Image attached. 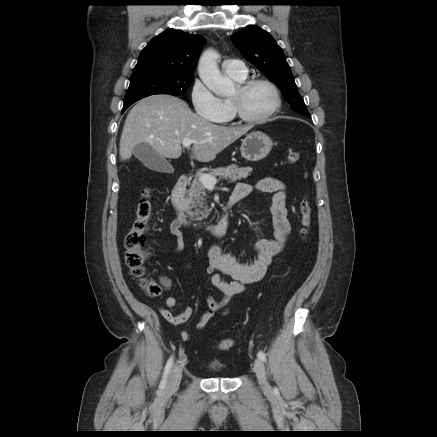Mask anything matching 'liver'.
Returning <instances> with one entry per match:
<instances>
[{"label":"liver","mask_w":437,"mask_h":437,"mask_svg":"<svg viewBox=\"0 0 437 437\" xmlns=\"http://www.w3.org/2000/svg\"><path fill=\"white\" fill-rule=\"evenodd\" d=\"M251 129L214 124L193 113L188 104L171 95H152L140 100L128 113L119 145L121 161L131 158L133 149L148 143L162 157L177 159L185 138L194 140L192 157L210 162L227 146Z\"/></svg>","instance_id":"6515ba94"}]
</instances>
